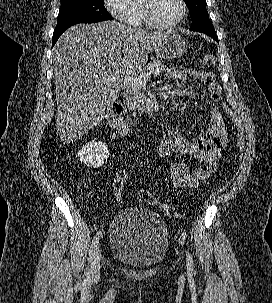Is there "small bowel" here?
I'll list each match as a JSON object with an SVG mask.
<instances>
[{"instance_id":"small-bowel-1","label":"small bowel","mask_w":272,"mask_h":303,"mask_svg":"<svg viewBox=\"0 0 272 303\" xmlns=\"http://www.w3.org/2000/svg\"><path fill=\"white\" fill-rule=\"evenodd\" d=\"M170 79L190 82L198 80L204 83L209 92L212 109L202 134L190 136L169 129L157 145V153L163 158L180 156L191 160L189 167L183 161H174L169 169V178L176 189H196L209 179L219 168V160L228 141V133L221 108L215 103L221 96V86L208 72L191 69L170 68Z\"/></svg>"}]
</instances>
